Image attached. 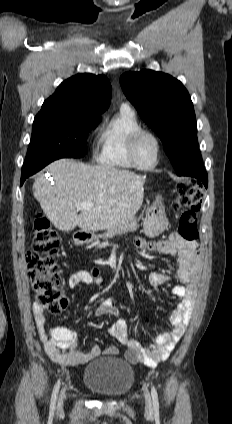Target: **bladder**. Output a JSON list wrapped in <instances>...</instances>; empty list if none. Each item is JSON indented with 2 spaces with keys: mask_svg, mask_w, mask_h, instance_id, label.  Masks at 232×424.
<instances>
[{
  "mask_svg": "<svg viewBox=\"0 0 232 424\" xmlns=\"http://www.w3.org/2000/svg\"><path fill=\"white\" fill-rule=\"evenodd\" d=\"M83 385L105 398L126 394L134 382V369L121 358L99 357L85 366Z\"/></svg>",
  "mask_w": 232,
  "mask_h": 424,
  "instance_id": "1",
  "label": "bladder"
}]
</instances>
